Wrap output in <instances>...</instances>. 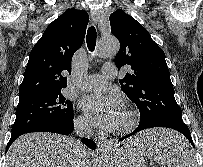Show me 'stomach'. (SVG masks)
Instances as JSON below:
<instances>
[{"mask_svg":"<svg viewBox=\"0 0 203 167\" xmlns=\"http://www.w3.org/2000/svg\"><path fill=\"white\" fill-rule=\"evenodd\" d=\"M159 131L152 130L143 133L142 135H140L141 139H145L142 142L147 141V138L150 137L152 133L154 134L155 132ZM172 133L176 134L175 132ZM139 149L140 147L135 146L131 142H127L124 148L113 151L112 159L115 164V167H147L143 158L141 157Z\"/></svg>","mask_w":203,"mask_h":167,"instance_id":"0dacf381","label":"stomach"}]
</instances>
